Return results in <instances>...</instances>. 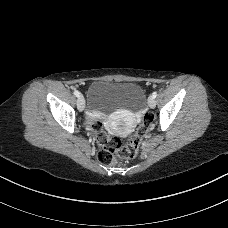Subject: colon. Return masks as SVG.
Listing matches in <instances>:
<instances>
[{"label": "colon", "mask_w": 228, "mask_h": 228, "mask_svg": "<svg viewBox=\"0 0 228 228\" xmlns=\"http://www.w3.org/2000/svg\"><path fill=\"white\" fill-rule=\"evenodd\" d=\"M152 120L150 115H146L142 125L137 129L135 135L127 145H123L121 141L116 138L106 140L98 153L99 161L104 165H110L115 162L116 157L124 160L135 158ZM93 127L96 132L99 134L102 133L101 125L98 122H95Z\"/></svg>", "instance_id": "1"}]
</instances>
